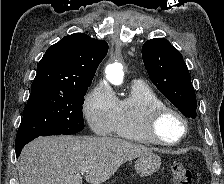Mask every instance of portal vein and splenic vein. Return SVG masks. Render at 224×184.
<instances>
[{
	"label": "portal vein and splenic vein",
	"instance_id": "1",
	"mask_svg": "<svg viewBox=\"0 0 224 184\" xmlns=\"http://www.w3.org/2000/svg\"><path fill=\"white\" fill-rule=\"evenodd\" d=\"M86 172H88V169L87 168H82L81 169V173H86Z\"/></svg>",
	"mask_w": 224,
	"mask_h": 184
}]
</instances>
